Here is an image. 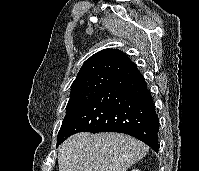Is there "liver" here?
Wrapping results in <instances>:
<instances>
[{"label": "liver", "instance_id": "1", "mask_svg": "<svg viewBox=\"0 0 199 171\" xmlns=\"http://www.w3.org/2000/svg\"><path fill=\"white\" fill-rule=\"evenodd\" d=\"M148 149L121 133H78L59 146V171H127Z\"/></svg>", "mask_w": 199, "mask_h": 171}]
</instances>
